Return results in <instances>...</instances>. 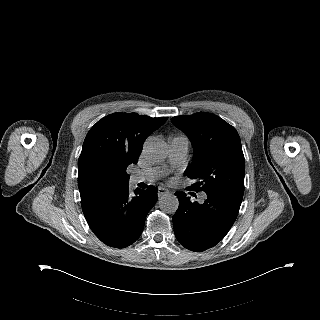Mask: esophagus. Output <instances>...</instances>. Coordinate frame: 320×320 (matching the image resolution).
Masks as SVG:
<instances>
[{"mask_svg":"<svg viewBox=\"0 0 320 320\" xmlns=\"http://www.w3.org/2000/svg\"><path fill=\"white\" fill-rule=\"evenodd\" d=\"M169 193V190L165 187H158V190H157V195L158 197L162 196V195H165V194H168Z\"/></svg>","mask_w":320,"mask_h":320,"instance_id":"esophagus-1","label":"esophagus"}]
</instances>
